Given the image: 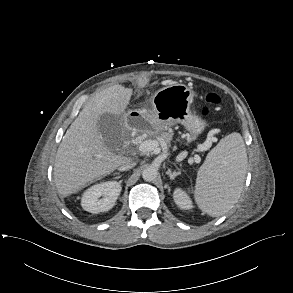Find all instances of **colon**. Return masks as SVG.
Listing matches in <instances>:
<instances>
[{
  "instance_id": "obj_1",
  "label": "colon",
  "mask_w": 293,
  "mask_h": 293,
  "mask_svg": "<svg viewBox=\"0 0 293 293\" xmlns=\"http://www.w3.org/2000/svg\"><path fill=\"white\" fill-rule=\"evenodd\" d=\"M205 105L203 106V115H210L215 108L221 105L222 99L216 93H208L204 96Z\"/></svg>"
}]
</instances>
